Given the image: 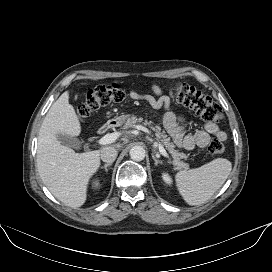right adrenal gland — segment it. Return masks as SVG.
Instances as JSON below:
<instances>
[{
  "mask_svg": "<svg viewBox=\"0 0 272 272\" xmlns=\"http://www.w3.org/2000/svg\"><path fill=\"white\" fill-rule=\"evenodd\" d=\"M112 165V163H107V164H104V166H101V168H104L105 169V171L107 172L108 171V167L109 166H111Z\"/></svg>",
  "mask_w": 272,
  "mask_h": 272,
  "instance_id": "1",
  "label": "right adrenal gland"
}]
</instances>
